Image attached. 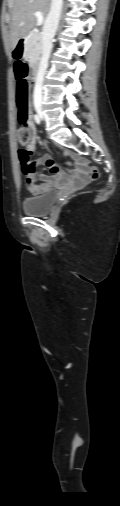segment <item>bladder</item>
Segmentation results:
<instances>
[{
    "instance_id": "obj_1",
    "label": "bladder",
    "mask_w": 120,
    "mask_h": 506,
    "mask_svg": "<svg viewBox=\"0 0 120 506\" xmlns=\"http://www.w3.org/2000/svg\"><path fill=\"white\" fill-rule=\"evenodd\" d=\"M56 200L57 192L49 190L38 196L25 197L22 200V209L28 215L42 216L50 211Z\"/></svg>"
}]
</instances>
